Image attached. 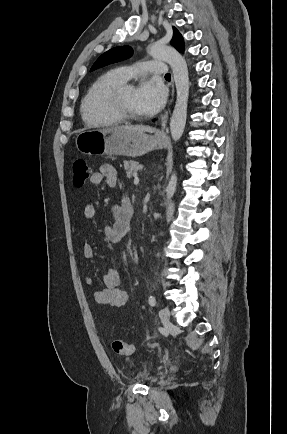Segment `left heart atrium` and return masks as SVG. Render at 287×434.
I'll return each instance as SVG.
<instances>
[{
  "instance_id": "left-heart-atrium-1",
  "label": "left heart atrium",
  "mask_w": 287,
  "mask_h": 434,
  "mask_svg": "<svg viewBox=\"0 0 287 434\" xmlns=\"http://www.w3.org/2000/svg\"><path fill=\"white\" fill-rule=\"evenodd\" d=\"M166 98L167 91L157 80L145 81L136 89L138 106L145 114L158 112L164 106Z\"/></svg>"
}]
</instances>
